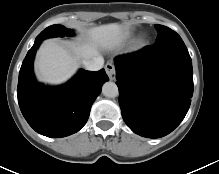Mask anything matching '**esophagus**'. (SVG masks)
Wrapping results in <instances>:
<instances>
[{
	"label": "esophagus",
	"mask_w": 219,
	"mask_h": 174,
	"mask_svg": "<svg viewBox=\"0 0 219 174\" xmlns=\"http://www.w3.org/2000/svg\"><path fill=\"white\" fill-rule=\"evenodd\" d=\"M105 70H106V73L109 77L110 80H115V77H116V71H115V67L112 63H107L105 65Z\"/></svg>",
	"instance_id": "34e87169"
}]
</instances>
